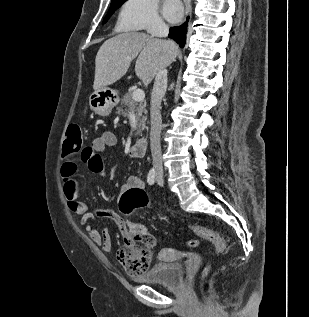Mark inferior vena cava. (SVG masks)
I'll return each mask as SVG.
<instances>
[{"instance_id": "1", "label": "inferior vena cava", "mask_w": 309, "mask_h": 317, "mask_svg": "<svg viewBox=\"0 0 309 317\" xmlns=\"http://www.w3.org/2000/svg\"><path fill=\"white\" fill-rule=\"evenodd\" d=\"M152 37H166L169 33L168 26L160 21H155L151 28L148 30ZM167 89V69L162 67L158 70L151 93V104H150V117H151V128H150V148L153 160V168L157 172H162V153H161V129H162V118H161V101L164 97Z\"/></svg>"}]
</instances>
